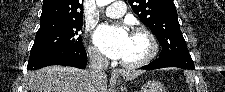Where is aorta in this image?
<instances>
[{
  "label": "aorta",
  "mask_w": 225,
  "mask_h": 92,
  "mask_svg": "<svg viewBox=\"0 0 225 92\" xmlns=\"http://www.w3.org/2000/svg\"><path fill=\"white\" fill-rule=\"evenodd\" d=\"M113 0H97V5L102 7L105 5H108L109 3H111Z\"/></svg>",
  "instance_id": "aorta-1"
}]
</instances>
